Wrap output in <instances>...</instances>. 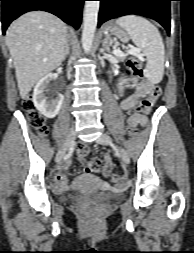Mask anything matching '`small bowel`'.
Returning <instances> with one entry per match:
<instances>
[{
	"label": "small bowel",
	"mask_w": 194,
	"mask_h": 253,
	"mask_svg": "<svg viewBox=\"0 0 194 253\" xmlns=\"http://www.w3.org/2000/svg\"><path fill=\"white\" fill-rule=\"evenodd\" d=\"M131 86L134 87V92L132 94H121L120 106L123 111H130L135 104L141 99L147 98L154 91V84L151 81L144 80L137 82L133 80ZM147 122V117L145 114H132L128 120V126L137 127L139 125L144 126ZM71 161L68 159L63 162L58 168H56L51 174V180L53 182L55 190L61 192L67 188V177L66 171L69 168ZM113 168L112 160L109 156H106V161L104 165L103 174L104 176H109Z\"/></svg>",
	"instance_id": "1"
}]
</instances>
